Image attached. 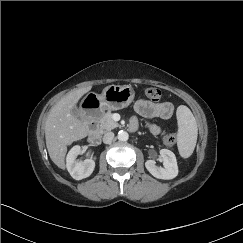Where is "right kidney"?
Returning a JSON list of instances; mask_svg holds the SVG:
<instances>
[{
    "mask_svg": "<svg viewBox=\"0 0 243 243\" xmlns=\"http://www.w3.org/2000/svg\"><path fill=\"white\" fill-rule=\"evenodd\" d=\"M83 153L82 147L76 145L71 148L66 158V167L75 180L89 177L95 168V158L86 159L83 162L77 160V156Z\"/></svg>",
    "mask_w": 243,
    "mask_h": 243,
    "instance_id": "1",
    "label": "right kidney"
}]
</instances>
